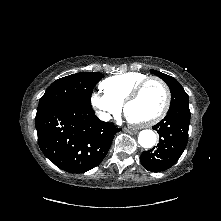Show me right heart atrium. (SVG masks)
I'll return each mask as SVG.
<instances>
[{"mask_svg":"<svg viewBox=\"0 0 221 221\" xmlns=\"http://www.w3.org/2000/svg\"><path fill=\"white\" fill-rule=\"evenodd\" d=\"M90 100L96 115L103 121H108L121 111L122 105L112 100L105 93L95 91L92 93Z\"/></svg>","mask_w":221,"mask_h":221,"instance_id":"d8ad5b80","label":"right heart atrium"}]
</instances>
